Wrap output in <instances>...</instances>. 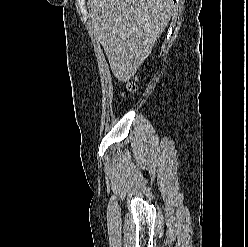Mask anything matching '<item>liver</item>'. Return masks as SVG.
<instances>
[{
	"instance_id": "obj_1",
	"label": "liver",
	"mask_w": 248,
	"mask_h": 247,
	"mask_svg": "<svg viewBox=\"0 0 248 247\" xmlns=\"http://www.w3.org/2000/svg\"><path fill=\"white\" fill-rule=\"evenodd\" d=\"M92 28L113 75L127 82L150 55L171 18L173 0H88Z\"/></svg>"
}]
</instances>
